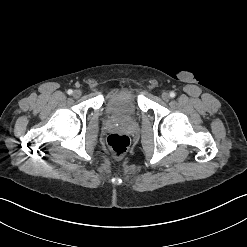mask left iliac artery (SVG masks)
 <instances>
[{
	"label": "left iliac artery",
	"instance_id": "1",
	"mask_svg": "<svg viewBox=\"0 0 247 247\" xmlns=\"http://www.w3.org/2000/svg\"><path fill=\"white\" fill-rule=\"evenodd\" d=\"M170 97H171V98H174V97H175V92H173V91L170 92Z\"/></svg>",
	"mask_w": 247,
	"mask_h": 247
}]
</instances>
